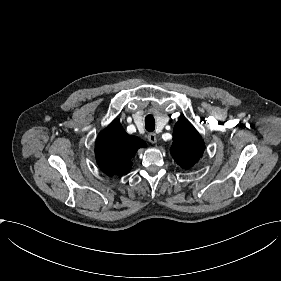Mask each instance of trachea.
<instances>
[{"label":"trachea","mask_w":281,"mask_h":281,"mask_svg":"<svg viewBox=\"0 0 281 281\" xmlns=\"http://www.w3.org/2000/svg\"><path fill=\"white\" fill-rule=\"evenodd\" d=\"M145 128L149 132H152L155 129V119L150 114L145 117Z\"/></svg>","instance_id":"1"}]
</instances>
